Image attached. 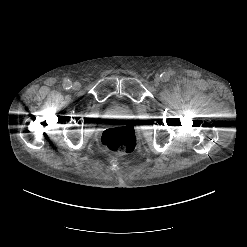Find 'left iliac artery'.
I'll return each mask as SVG.
<instances>
[{
  "label": "left iliac artery",
  "mask_w": 247,
  "mask_h": 247,
  "mask_svg": "<svg viewBox=\"0 0 247 247\" xmlns=\"http://www.w3.org/2000/svg\"><path fill=\"white\" fill-rule=\"evenodd\" d=\"M160 77H161V80H162L163 82L168 81L169 78H170L169 74H167V73H162V74L160 75Z\"/></svg>",
  "instance_id": "obj_1"
}]
</instances>
